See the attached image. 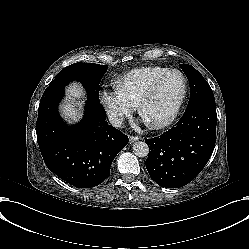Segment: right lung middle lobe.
Listing matches in <instances>:
<instances>
[{"label":"right lung middle lobe","instance_id":"1","mask_svg":"<svg viewBox=\"0 0 249 249\" xmlns=\"http://www.w3.org/2000/svg\"><path fill=\"white\" fill-rule=\"evenodd\" d=\"M107 67L94 63H75L61 70L49 86L64 88L70 81L78 80L86 88L88 99L100 103L99 84Z\"/></svg>","mask_w":249,"mask_h":249}]
</instances>
